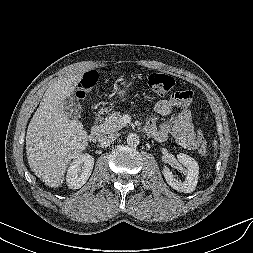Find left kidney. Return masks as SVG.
I'll return each mask as SVG.
<instances>
[{
  "label": "left kidney",
  "mask_w": 253,
  "mask_h": 253,
  "mask_svg": "<svg viewBox=\"0 0 253 253\" xmlns=\"http://www.w3.org/2000/svg\"><path fill=\"white\" fill-rule=\"evenodd\" d=\"M178 162L185 168H181V172L185 175V180L181 181L175 178L173 173L167 168H163V175L168 183L173 189L184 192L191 193L195 190L198 182L199 166L198 163L189 155L179 153L177 155Z\"/></svg>",
  "instance_id": "5707ae66"
}]
</instances>
